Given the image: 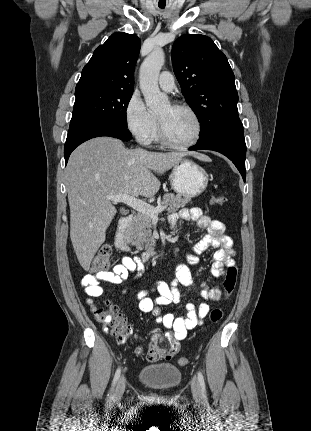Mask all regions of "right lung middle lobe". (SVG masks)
<instances>
[{
  "label": "right lung middle lobe",
  "instance_id": "obj_1",
  "mask_svg": "<svg viewBox=\"0 0 311 431\" xmlns=\"http://www.w3.org/2000/svg\"><path fill=\"white\" fill-rule=\"evenodd\" d=\"M133 91L88 88L75 91L70 126L86 120H106L127 125L126 110Z\"/></svg>",
  "mask_w": 311,
  "mask_h": 431
}]
</instances>
